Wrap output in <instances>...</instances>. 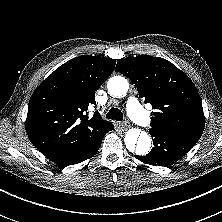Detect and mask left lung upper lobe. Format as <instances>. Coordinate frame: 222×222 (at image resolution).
<instances>
[{
	"instance_id": "obj_1",
	"label": "left lung upper lobe",
	"mask_w": 222,
	"mask_h": 222,
	"mask_svg": "<svg viewBox=\"0 0 222 222\" xmlns=\"http://www.w3.org/2000/svg\"><path fill=\"white\" fill-rule=\"evenodd\" d=\"M116 71L127 76L145 103L152 105V128L202 135L205 117L199 93L174 64L160 57H129L117 62Z\"/></svg>"
}]
</instances>
